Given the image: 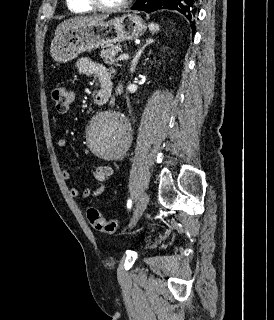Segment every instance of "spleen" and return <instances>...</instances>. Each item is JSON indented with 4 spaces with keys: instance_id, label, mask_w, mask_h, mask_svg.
I'll use <instances>...</instances> for the list:
<instances>
[{
    "instance_id": "spleen-1",
    "label": "spleen",
    "mask_w": 274,
    "mask_h": 320,
    "mask_svg": "<svg viewBox=\"0 0 274 320\" xmlns=\"http://www.w3.org/2000/svg\"><path fill=\"white\" fill-rule=\"evenodd\" d=\"M148 28H149L151 34H156V32H158V30H159L158 24H154V22H151V24H148Z\"/></svg>"
}]
</instances>
